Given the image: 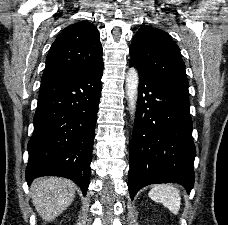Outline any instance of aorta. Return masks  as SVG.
Returning a JSON list of instances; mask_svg holds the SVG:
<instances>
[{
	"label": "aorta",
	"instance_id": "762f6f07",
	"mask_svg": "<svg viewBox=\"0 0 228 225\" xmlns=\"http://www.w3.org/2000/svg\"><path fill=\"white\" fill-rule=\"evenodd\" d=\"M138 82H139V76H138V70L136 68H129L126 76V92H127V98L129 100V106L131 113L130 115H134L135 113V106H136V100H137V92H138Z\"/></svg>",
	"mask_w": 228,
	"mask_h": 225
}]
</instances>
